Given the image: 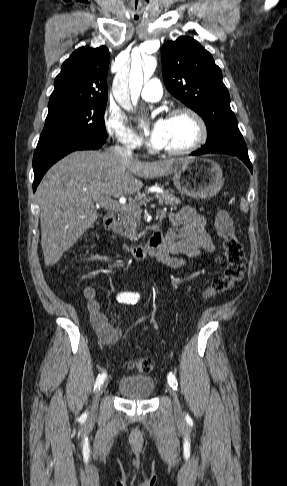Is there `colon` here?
<instances>
[{
  "mask_svg": "<svg viewBox=\"0 0 287 486\" xmlns=\"http://www.w3.org/2000/svg\"><path fill=\"white\" fill-rule=\"evenodd\" d=\"M215 227L222 241V249L226 260L223 272L215 277L205 291L206 297H214L230 290L240 281L245 271V254L243 246L235 234L232 219L226 212H219L216 216ZM129 366L140 373H149L154 368L151 358H138Z\"/></svg>",
  "mask_w": 287,
  "mask_h": 486,
  "instance_id": "obj_1",
  "label": "colon"
}]
</instances>
